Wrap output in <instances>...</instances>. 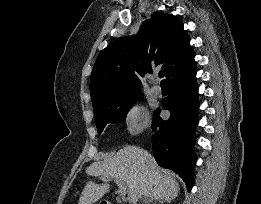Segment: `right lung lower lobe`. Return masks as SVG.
I'll list each match as a JSON object with an SVG mask.
<instances>
[{
  "label": "right lung lower lobe",
  "mask_w": 261,
  "mask_h": 204,
  "mask_svg": "<svg viewBox=\"0 0 261 204\" xmlns=\"http://www.w3.org/2000/svg\"><path fill=\"white\" fill-rule=\"evenodd\" d=\"M167 82L170 95L163 99L162 108L169 110L171 115L164 121L159 116L160 109L153 113L152 150L157 163L177 172L190 191L196 162L194 142L198 122L195 61L172 75Z\"/></svg>",
  "instance_id": "obj_1"
}]
</instances>
